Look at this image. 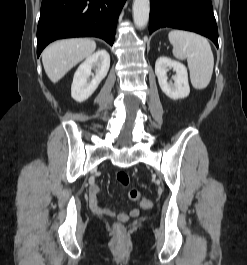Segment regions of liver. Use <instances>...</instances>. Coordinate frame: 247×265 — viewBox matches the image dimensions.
<instances>
[{
    "mask_svg": "<svg viewBox=\"0 0 247 265\" xmlns=\"http://www.w3.org/2000/svg\"><path fill=\"white\" fill-rule=\"evenodd\" d=\"M96 49L91 39H66L49 45L42 54L44 70L49 79L56 83L70 69L89 57Z\"/></svg>",
    "mask_w": 247,
    "mask_h": 265,
    "instance_id": "1",
    "label": "liver"
}]
</instances>
